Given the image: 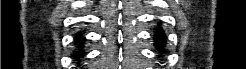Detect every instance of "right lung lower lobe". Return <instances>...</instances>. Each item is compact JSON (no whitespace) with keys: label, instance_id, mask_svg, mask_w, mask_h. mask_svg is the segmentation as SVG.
Here are the masks:
<instances>
[{"label":"right lung lower lobe","instance_id":"98d812e1","mask_svg":"<svg viewBox=\"0 0 246 69\" xmlns=\"http://www.w3.org/2000/svg\"><path fill=\"white\" fill-rule=\"evenodd\" d=\"M85 41V38L82 37L81 34L76 35L75 37V45L77 47V51L74 52V57H83L84 50H83V43Z\"/></svg>","mask_w":246,"mask_h":69}]
</instances>
